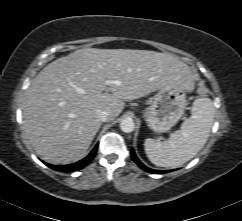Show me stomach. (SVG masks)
Masks as SVG:
<instances>
[{"instance_id": "stomach-1", "label": "stomach", "mask_w": 242, "mask_h": 221, "mask_svg": "<svg viewBox=\"0 0 242 221\" xmlns=\"http://www.w3.org/2000/svg\"><path fill=\"white\" fill-rule=\"evenodd\" d=\"M186 105L185 89L167 84L157 90L143 116L150 129L166 132L183 116Z\"/></svg>"}]
</instances>
